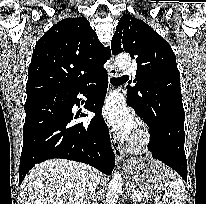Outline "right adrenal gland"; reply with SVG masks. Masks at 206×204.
I'll return each instance as SVG.
<instances>
[{
    "label": "right adrenal gland",
    "instance_id": "2a0ac1e0",
    "mask_svg": "<svg viewBox=\"0 0 206 204\" xmlns=\"http://www.w3.org/2000/svg\"><path fill=\"white\" fill-rule=\"evenodd\" d=\"M89 199H91V196H89V197H86V200L87 201H89ZM83 204H85V201H84V203ZM90 204V203H89Z\"/></svg>",
    "mask_w": 206,
    "mask_h": 204
}]
</instances>
